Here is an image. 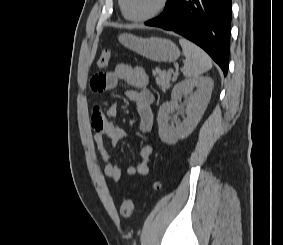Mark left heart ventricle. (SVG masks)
I'll use <instances>...</instances> for the list:
<instances>
[{
  "mask_svg": "<svg viewBox=\"0 0 283 245\" xmlns=\"http://www.w3.org/2000/svg\"><path fill=\"white\" fill-rule=\"evenodd\" d=\"M160 0H125V9L129 16L141 17L155 10Z\"/></svg>",
  "mask_w": 283,
  "mask_h": 245,
  "instance_id": "b2bd125f",
  "label": "left heart ventricle"
}]
</instances>
